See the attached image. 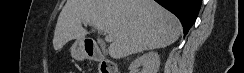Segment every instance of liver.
I'll return each mask as SVG.
<instances>
[{"label": "liver", "instance_id": "liver-1", "mask_svg": "<svg viewBox=\"0 0 244 73\" xmlns=\"http://www.w3.org/2000/svg\"><path fill=\"white\" fill-rule=\"evenodd\" d=\"M82 23L114 36L109 46L114 59L167 47L182 29L177 17L154 0H67L55 27L54 50L73 39L83 41L89 32Z\"/></svg>", "mask_w": 244, "mask_h": 73}]
</instances>
